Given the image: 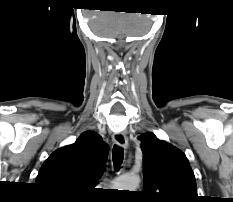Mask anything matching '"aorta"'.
Returning a JSON list of instances; mask_svg holds the SVG:
<instances>
[{"label": "aorta", "mask_w": 233, "mask_h": 202, "mask_svg": "<svg viewBox=\"0 0 233 202\" xmlns=\"http://www.w3.org/2000/svg\"><path fill=\"white\" fill-rule=\"evenodd\" d=\"M140 183V178L135 175H123L114 182L119 190L135 191Z\"/></svg>", "instance_id": "1"}]
</instances>
